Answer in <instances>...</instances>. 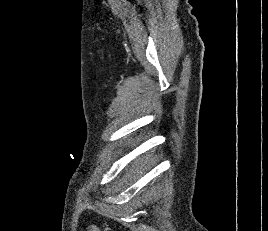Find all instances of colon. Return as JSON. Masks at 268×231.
Segmentation results:
<instances>
[{
    "label": "colon",
    "mask_w": 268,
    "mask_h": 231,
    "mask_svg": "<svg viewBox=\"0 0 268 231\" xmlns=\"http://www.w3.org/2000/svg\"><path fill=\"white\" fill-rule=\"evenodd\" d=\"M103 230H104V231H111V229L108 228V227H104Z\"/></svg>",
    "instance_id": "colon-1"
}]
</instances>
